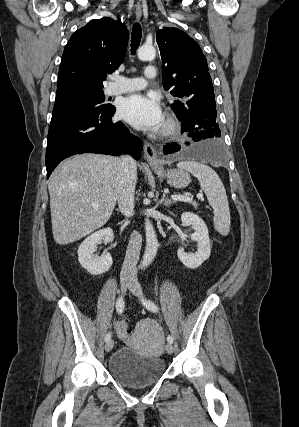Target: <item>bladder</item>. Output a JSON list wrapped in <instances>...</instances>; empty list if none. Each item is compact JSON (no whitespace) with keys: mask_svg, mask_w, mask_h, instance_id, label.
<instances>
[{"mask_svg":"<svg viewBox=\"0 0 299 427\" xmlns=\"http://www.w3.org/2000/svg\"><path fill=\"white\" fill-rule=\"evenodd\" d=\"M166 371L160 356L140 355L127 346L115 351L110 357L108 372L119 384L139 388L158 382Z\"/></svg>","mask_w":299,"mask_h":427,"instance_id":"31cf9c89","label":"bladder"}]
</instances>
